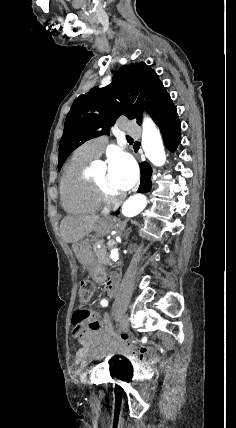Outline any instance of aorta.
<instances>
[{"mask_svg": "<svg viewBox=\"0 0 236 428\" xmlns=\"http://www.w3.org/2000/svg\"><path fill=\"white\" fill-rule=\"evenodd\" d=\"M142 147L145 156L155 166H162L166 161V154L163 146L161 134L153 120L145 116L142 124ZM147 205V198L143 194H135L125 201L122 206V214L125 217H134L138 215ZM119 248L114 245L109 252L112 261L119 259Z\"/></svg>", "mask_w": 236, "mask_h": 428, "instance_id": "obj_1", "label": "aorta"}]
</instances>
